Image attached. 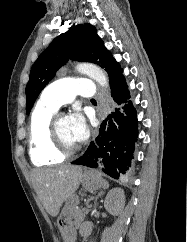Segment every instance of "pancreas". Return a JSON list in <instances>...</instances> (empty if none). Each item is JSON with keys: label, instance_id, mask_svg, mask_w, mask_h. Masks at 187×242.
Instances as JSON below:
<instances>
[{"label": "pancreas", "instance_id": "pancreas-1", "mask_svg": "<svg viewBox=\"0 0 187 242\" xmlns=\"http://www.w3.org/2000/svg\"><path fill=\"white\" fill-rule=\"evenodd\" d=\"M90 208H91V205H88L87 208L79 209L76 212L79 222H81L83 220L84 216L89 213Z\"/></svg>", "mask_w": 187, "mask_h": 242}]
</instances>
